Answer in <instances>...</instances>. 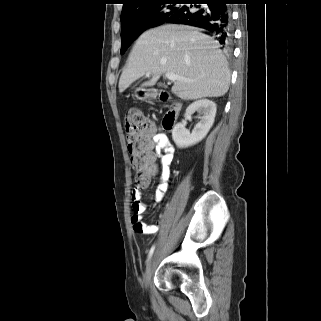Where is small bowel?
Returning a JSON list of instances; mask_svg holds the SVG:
<instances>
[{
	"label": "small bowel",
	"mask_w": 321,
	"mask_h": 321,
	"mask_svg": "<svg viewBox=\"0 0 321 321\" xmlns=\"http://www.w3.org/2000/svg\"><path fill=\"white\" fill-rule=\"evenodd\" d=\"M150 144V165L154 175L158 168L156 160H159V185L156 190V202H160L169 189L170 166L174 158L175 148L168 136L164 133H156L154 127L151 129L149 139ZM151 176L139 182L132 192V210L131 224L137 233L154 234L158 231V225H147L141 220L142 214L146 210V205L142 200L141 189L146 188L150 184Z\"/></svg>",
	"instance_id": "small-bowel-1"
}]
</instances>
